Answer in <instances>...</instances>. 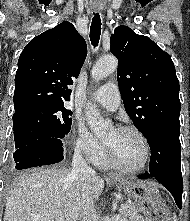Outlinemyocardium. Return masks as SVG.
I'll use <instances>...</instances> for the list:
<instances>
[{
    "label": "myocardium",
    "mask_w": 190,
    "mask_h": 221,
    "mask_svg": "<svg viewBox=\"0 0 190 221\" xmlns=\"http://www.w3.org/2000/svg\"><path fill=\"white\" fill-rule=\"evenodd\" d=\"M116 129L119 131H131V132H134L136 135H138L139 138L141 139V141L143 142V145L145 148V157H144V160L140 166L128 167V166L124 165L117 158V156L114 153V151L112 150V148L106 142L103 141L105 154H106L108 160L111 162V164L113 166H115L116 168H118L124 172H127V173H139V172L144 171L148 167V165L150 163V159H151V147H150V143H149L148 138L139 128H137L134 125L121 124V125H118L116 127Z\"/></svg>",
    "instance_id": "obj_1"
}]
</instances>
